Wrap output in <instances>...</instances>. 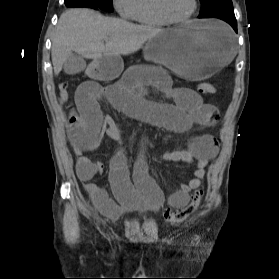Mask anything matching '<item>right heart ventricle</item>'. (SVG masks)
I'll use <instances>...</instances> for the list:
<instances>
[{
    "label": "right heart ventricle",
    "mask_w": 279,
    "mask_h": 279,
    "mask_svg": "<svg viewBox=\"0 0 279 279\" xmlns=\"http://www.w3.org/2000/svg\"><path fill=\"white\" fill-rule=\"evenodd\" d=\"M136 22L145 26H165L168 24L159 14L155 0H136L133 18Z\"/></svg>",
    "instance_id": "e07e8e85"
}]
</instances>
